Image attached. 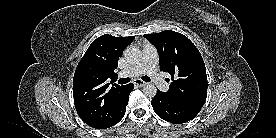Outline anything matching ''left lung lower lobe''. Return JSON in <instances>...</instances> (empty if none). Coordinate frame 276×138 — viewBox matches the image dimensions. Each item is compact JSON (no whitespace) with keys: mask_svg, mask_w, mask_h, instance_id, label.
Returning <instances> with one entry per match:
<instances>
[{"mask_svg":"<svg viewBox=\"0 0 276 138\" xmlns=\"http://www.w3.org/2000/svg\"><path fill=\"white\" fill-rule=\"evenodd\" d=\"M154 112L163 120L180 124L192 120L201 110L181 101L172 99L165 92L157 90L151 101Z\"/></svg>","mask_w":276,"mask_h":138,"instance_id":"0a47b994","label":"left lung lower lobe"}]
</instances>
